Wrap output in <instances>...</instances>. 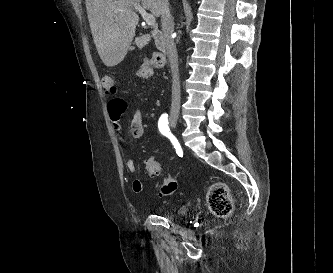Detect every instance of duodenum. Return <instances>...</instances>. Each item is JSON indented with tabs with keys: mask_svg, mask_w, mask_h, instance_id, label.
I'll return each mask as SVG.
<instances>
[{
	"mask_svg": "<svg viewBox=\"0 0 333 273\" xmlns=\"http://www.w3.org/2000/svg\"><path fill=\"white\" fill-rule=\"evenodd\" d=\"M152 37L155 45L162 55H166L171 47V42L161 30H153Z\"/></svg>",
	"mask_w": 333,
	"mask_h": 273,
	"instance_id": "1",
	"label": "duodenum"
}]
</instances>
